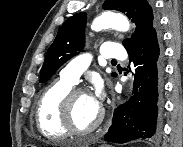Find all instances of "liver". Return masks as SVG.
Segmentation results:
<instances>
[{"label": "liver", "mask_w": 183, "mask_h": 147, "mask_svg": "<svg viewBox=\"0 0 183 147\" xmlns=\"http://www.w3.org/2000/svg\"><path fill=\"white\" fill-rule=\"evenodd\" d=\"M63 146H76V145H80L78 142H71V141H68V142H64L62 144Z\"/></svg>", "instance_id": "1"}]
</instances>
